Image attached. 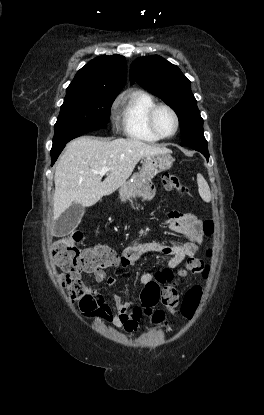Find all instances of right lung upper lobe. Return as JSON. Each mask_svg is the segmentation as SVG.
Instances as JSON below:
<instances>
[{
  "label": "right lung upper lobe",
  "instance_id": "obj_1",
  "mask_svg": "<svg viewBox=\"0 0 264 415\" xmlns=\"http://www.w3.org/2000/svg\"><path fill=\"white\" fill-rule=\"evenodd\" d=\"M127 65L120 55L96 57L81 68L66 96L117 95L126 82Z\"/></svg>",
  "mask_w": 264,
  "mask_h": 415
}]
</instances>
